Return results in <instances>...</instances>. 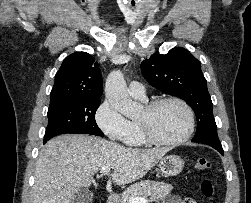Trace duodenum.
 <instances>
[{
  "instance_id": "obj_1",
  "label": "duodenum",
  "mask_w": 251,
  "mask_h": 203,
  "mask_svg": "<svg viewBox=\"0 0 251 203\" xmlns=\"http://www.w3.org/2000/svg\"><path fill=\"white\" fill-rule=\"evenodd\" d=\"M117 201H118V195L111 194V195H109V197L107 198L105 203H117Z\"/></svg>"
}]
</instances>
